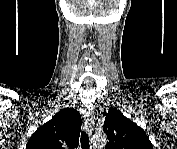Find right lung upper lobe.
<instances>
[{
  "mask_svg": "<svg viewBox=\"0 0 177 149\" xmlns=\"http://www.w3.org/2000/svg\"><path fill=\"white\" fill-rule=\"evenodd\" d=\"M80 128V113L62 109L33 133L26 149H74L79 144Z\"/></svg>",
  "mask_w": 177,
  "mask_h": 149,
  "instance_id": "1",
  "label": "right lung upper lobe"
}]
</instances>
